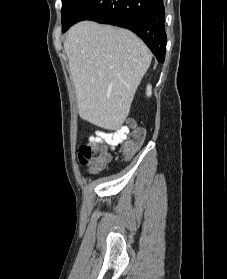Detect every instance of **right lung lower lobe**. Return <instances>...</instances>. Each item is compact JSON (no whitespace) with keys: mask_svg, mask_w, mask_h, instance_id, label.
Returning a JSON list of instances; mask_svg holds the SVG:
<instances>
[{"mask_svg":"<svg viewBox=\"0 0 227 279\" xmlns=\"http://www.w3.org/2000/svg\"><path fill=\"white\" fill-rule=\"evenodd\" d=\"M92 20L127 28L137 34L159 62H164L166 33L163 0H84L72 25Z\"/></svg>","mask_w":227,"mask_h":279,"instance_id":"right-lung-lower-lobe-1","label":"right lung lower lobe"}]
</instances>
